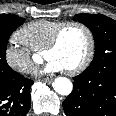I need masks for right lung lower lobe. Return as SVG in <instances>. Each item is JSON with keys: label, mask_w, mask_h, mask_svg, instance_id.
Here are the masks:
<instances>
[{"label": "right lung lower lobe", "mask_w": 116, "mask_h": 116, "mask_svg": "<svg viewBox=\"0 0 116 116\" xmlns=\"http://www.w3.org/2000/svg\"><path fill=\"white\" fill-rule=\"evenodd\" d=\"M32 80L17 73L0 81V116H25L30 109Z\"/></svg>", "instance_id": "obj_1"}]
</instances>
